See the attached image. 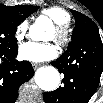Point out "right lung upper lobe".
<instances>
[{"mask_svg": "<svg viewBox=\"0 0 103 103\" xmlns=\"http://www.w3.org/2000/svg\"><path fill=\"white\" fill-rule=\"evenodd\" d=\"M5 6V5H4ZM30 5L5 6L10 12L14 14H24L28 12Z\"/></svg>", "mask_w": 103, "mask_h": 103, "instance_id": "cb5924a9", "label": "right lung upper lobe"}]
</instances>
